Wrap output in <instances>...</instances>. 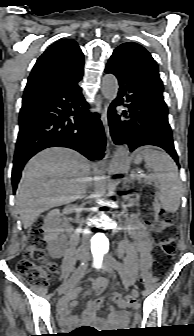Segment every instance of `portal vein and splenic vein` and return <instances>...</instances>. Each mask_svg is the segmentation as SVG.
<instances>
[{"mask_svg":"<svg viewBox=\"0 0 194 336\" xmlns=\"http://www.w3.org/2000/svg\"><path fill=\"white\" fill-rule=\"evenodd\" d=\"M139 178H144V177H149V176H151V175H146V174H144V173H139V175H137Z\"/></svg>","mask_w":194,"mask_h":336,"instance_id":"18ae733b","label":"portal vein and splenic vein"}]
</instances>
